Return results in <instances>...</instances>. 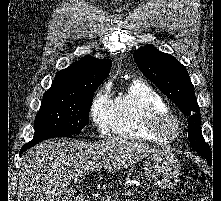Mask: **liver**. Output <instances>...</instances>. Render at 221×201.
I'll return each instance as SVG.
<instances>
[{
	"mask_svg": "<svg viewBox=\"0 0 221 201\" xmlns=\"http://www.w3.org/2000/svg\"><path fill=\"white\" fill-rule=\"evenodd\" d=\"M170 151L129 138L98 142L47 140L23 156L17 201H66L69 184L83 180L96 168L119 171L153 153Z\"/></svg>",
	"mask_w": 221,
	"mask_h": 201,
	"instance_id": "obj_1",
	"label": "liver"
}]
</instances>
